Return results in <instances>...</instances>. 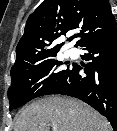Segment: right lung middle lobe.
Here are the masks:
<instances>
[{"instance_id":"1","label":"right lung middle lobe","mask_w":117,"mask_h":131,"mask_svg":"<svg viewBox=\"0 0 117 131\" xmlns=\"http://www.w3.org/2000/svg\"><path fill=\"white\" fill-rule=\"evenodd\" d=\"M51 53L35 63L11 70V86L8 89L9 110L59 89L70 69L62 68V62Z\"/></svg>"}]
</instances>
